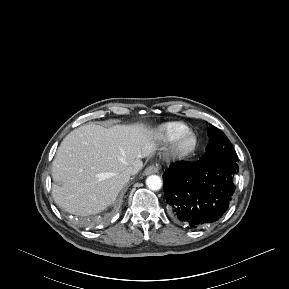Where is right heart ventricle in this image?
<instances>
[{
  "label": "right heart ventricle",
  "mask_w": 289,
  "mask_h": 289,
  "mask_svg": "<svg viewBox=\"0 0 289 289\" xmlns=\"http://www.w3.org/2000/svg\"><path fill=\"white\" fill-rule=\"evenodd\" d=\"M187 130H189V127L185 123L172 121L161 124L156 130V135L165 142H171L179 134Z\"/></svg>",
  "instance_id": "right-heart-ventricle-1"
}]
</instances>
